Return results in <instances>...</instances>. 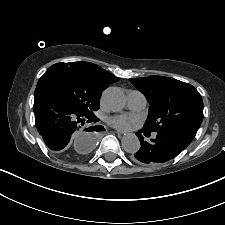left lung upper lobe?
I'll list each match as a JSON object with an SVG mask.
<instances>
[{"instance_id":"1","label":"left lung upper lobe","mask_w":225,"mask_h":225,"mask_svg":"<svg viewBox=\"0 0 225 225\" xmlns=\"http://www.w3.org/2000/svg\"><path fill=\"white\" fill-rule=\"evenodd\" d=\"M130 81L150 104L143 128L146 131L158 133L184 126L200 127L203 100L192 85L156 75Z\"/></svg>"}]
</instances>
